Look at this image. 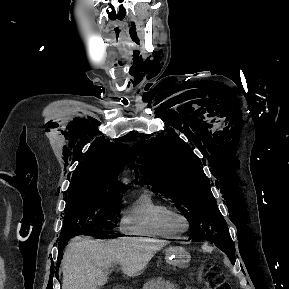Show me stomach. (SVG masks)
Wrapping results in <instances>:
<instances>
[{"label": "stomach", "instance_id": "stomach-1", "mask_svg": "<svg viewBox=\"0 0 289 289\" xmlns=\"http://www.w3.org/2000/svg\"><path fill=\"white\" fill-rule=\"evenodd\" d=\"M165 260L173 266L186 268L190 262V255L184 247L173 246L166 249Z\"/></svg>", "mask_w": 289, "mask_h": 289}]
</instances>
